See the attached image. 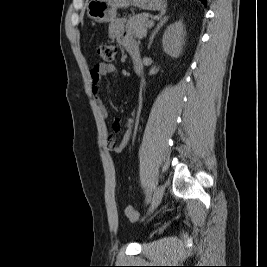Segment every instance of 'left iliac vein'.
Returning <instances> with one entry per match:
<instances>
[{
    "label": "left iliac vein",
    "mask_w": 267,
    "mask_h": 267,
    "mask_svg": "<svg viewBox=\"0 0 267 267\" xmlns=\"http://www.w3.org/2000/svg\"><path fill=\"white\" fill-rule=\"evenodd\" d=\"M163 194H164V186L163 185H159L155 189L154 194L152 196L149 212H152L154 209L157 208V206L160 204V202L162 200Z\"/></svg>",
    "instance_id": "obj_1"
}]
</instances>
